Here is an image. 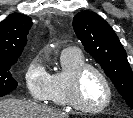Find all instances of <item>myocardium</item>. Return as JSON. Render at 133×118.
<instances>
[{"instance_id": "obj_1", "label": "myocardium", "mask_w": 133, "mask_h": 118, "mask_svg": "<svg viewBox=\"0 0 133 118\" xmlns=\"http://www.w3.org/2000/svg\"><path fill=\"white\" fill-rule=\"evenodd\" d=\"M93 70L95 71L103 80L106 89H107V98L104 104L99 107H89L84 104L80 96V85L83 75L86 71ZM68 99L72 107L75 109L89 113V114H98L105 111L112 103L113 100V87L109 77L106 73L97 65L90 63H83L77 67L70 75L68 81Z\"/></svg>"}]
</instances>
